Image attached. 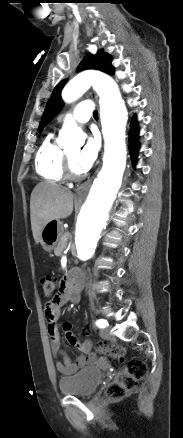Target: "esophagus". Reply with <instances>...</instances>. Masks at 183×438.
<instances>
[{
  "mask_svg": "<svg viewBox=\"0 0 183 438\" xmlns=\"http://www.w3.org/2000/svg\"><path fill=\"white\" fill-rule=\"evenodd\" d=\"M92 97H93V99L97 100L95 93H92ZM96 172H98V170ZM92 179H93V177L88 179L87 181H85L84 183H82L80 186L77 187V189H76L77 195L81 196L89 189L90 184L92 182Z\"/></svg>",
  "mask_w": 183,
  "mask_h": 438,
  "instance_id": "34e87169",
  "label": "esophagus"
}]
</instances>
